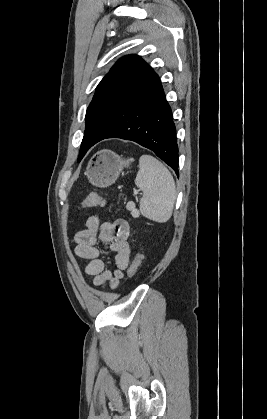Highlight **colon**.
Masks as SVG:
<instances>
[{"label":"colon","mask_w":267,"mask_h":419,"mask_svg":"<svg viewBox=\"0 0 267 419\" xmlns=\"http://www.w3.org/2000/svg\"><path fill=\"white\" fill-rule=\"evenodd\" d=\"M106 205H107V201L102 196H100L98 194H90L85 199H83L82 202H81V207H96V206L104 207ZM142 260H143V255L139 251L135 255L131 265L128 268V276L129 277H134L135 276V274L137 273V271H138V269H139V267L142 263Z\"/></svg>","instance_id":"1"}]
</instances>
